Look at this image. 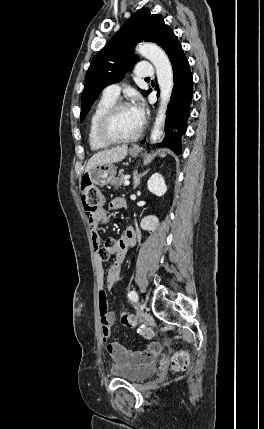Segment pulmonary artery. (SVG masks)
<instances>
[{
    "instance_id": "1",
    "label": "pulmonary artery",
    "mask_w": 264,
    "mask_h": 429,
    "mask_svg": "<svg viewBox=\"0 0 264 429\" xmlns=\"http://www.w3.org/2000/svg\"><path fill=\"white\" fill-rule=\"evenodd\" d=\"M154 68L148 62H141L137 66L136 74L140 78H150L154 76ZM121 91V86L118 83L108 85L104 91L103 96L116 100Z\"/></svg>"
}]
</instances>
